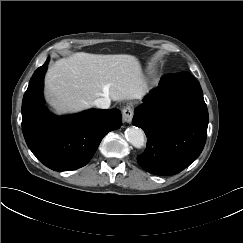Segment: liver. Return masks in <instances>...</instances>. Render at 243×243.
I'll return each instance as SVG.
<instances>
[{
	"instance_id": "1",
	"label": "liver",
	"mask_w": 243,
	"mask_h": 243,
	"mask_svg": "<svg viewBox=\"0 0 243 243\" xmlns=\"http://www.w3.org/2000/svg\"><path fill=\"white\" fill-rule=\"evenodd\" d=\"M144 75L132 55L74 53L56 61L45 77V96L57 114L76 113L98 98L141 99Z\"/></svg>"
}]
</instances>
